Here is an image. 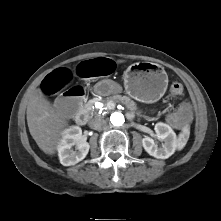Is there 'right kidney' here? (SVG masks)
Wrapping results in <instances>:
<instances>
[{"mask_svg":"<svg viewBox=\"0 0 221 221\" xmlns=\"http://www.w3.org/2000/svg\"><path fill=\"white\" fill-rule=\"evenodd\" d=\"M75 146V150L72 147ZM90 145L82 137V130L73 126L63 131L62 138L58 143V156L63 166L75 165L82 161L88 154Z\"/></svg>","mask_w":221,"mask_h":221,"instance_id":"1","label":"right kidney"}]
</instances>
